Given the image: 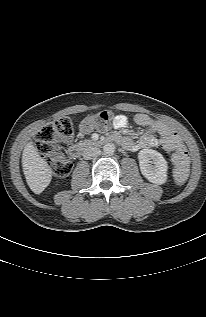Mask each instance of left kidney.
Masks as SVG:
<instances>
[{
  "mask_svg": "<svg viewBox=\"0 0 206 317\" xmlns=\"http://www.w3.org/2000/svg\"><path fill=\"white\" fill-rule=\"evenodd\" d=\"M138 159L141 173L146 179L159 185L166 182L168 165L162 154L152 149H142Z\"/></svg>",
  "mask_w": 206,
  "mask_h": 317,
  "instance_id": "5707ae66",
  "label": "left kidney"
}]
</instances>
